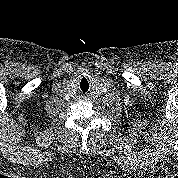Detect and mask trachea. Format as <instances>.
I'll use <instances>...</instances> for the list:
<instances>
[{
  "label": "trachea",
  "mask_w": 178,
  "mask_h": 178,
  "mask_svg": "<svg viewBox=\"0 0 178 178\" xmlns=\"http://www.w3.org/2000/svg\"><path fill=\"white\" fill-rule=\"evenodd\" d=\"M78 88H79V91L82 92V93H86V92L89 91L90 84H89V81L86 77H83L79 80Z\"/></svg>",
  "instance_id": "3493384b"
}]
</instances>
